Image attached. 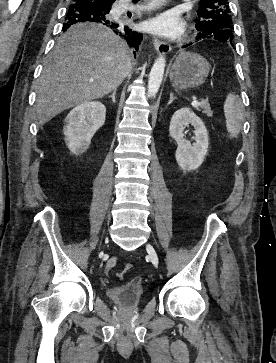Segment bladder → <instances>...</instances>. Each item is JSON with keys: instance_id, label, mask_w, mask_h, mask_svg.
<instances>
[{"instance_id": "obj_1", "label": "bladder", "mask_w": 276, "mask_h": 363, "mask_svg": "<svg viewBox=\"0 0 276 363\" xmlns=\"http://www.w3.org/2000/svg\"><path fill=\"white\" fill-rule=\"evenodd\" d=\"M107 296L125 308H133L142 302L143 288L134 283L110 287L106 290Z\"/></svg>"}]
</instances>
